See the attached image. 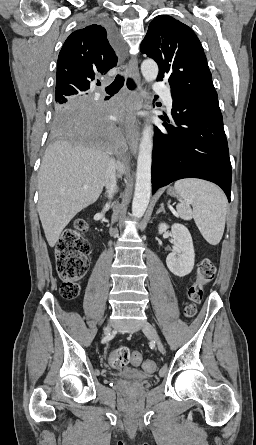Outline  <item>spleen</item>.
<instances>
[{
    "mask_svg": "<svg viewBox=\"0 0 256 445\" xmlns=\"http://www.w3.org/2000/svg\"><path fill=\"white\" fill-rule=\"evenodd\" d=\"M174 188L180 197L176 206L179 216L184 220L193 218L205 240L217 245L224 233L227 212V198L222 190L192 178L178 180Z\"/></svg>",
    "mask_w": 256,
    "mask_h": 445,
    "instance_id": "3e777b00",
    "label": "spleen"
}]
</instances>
